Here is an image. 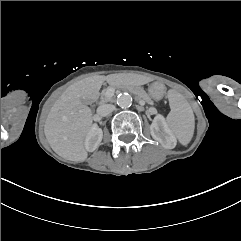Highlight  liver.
<instances>
[{
    "label": "liver",
    "mask_w": 241,
    "mask_h": 241,
    "mask_svg": "<svg viewBox=\"0 0 241 241\" xmlns=\"http://www.w3.org/2000/svg\"><path fill=\"white\" fill-rule=\"evenodd\" d=\"M104 81L117 85L119 75H96L79 80L70 85L51 107L44 133L59 156L76 162L86 160L84 140L93 121L91 109L86 104L98 97Z\"/></svg>",
    "instance_id": "liver-1"
}]
</instances>
